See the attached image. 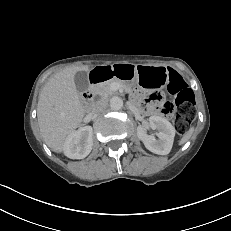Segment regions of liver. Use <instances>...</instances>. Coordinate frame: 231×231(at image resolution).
Wrapping results in <instances>:
<instances>
[{
  "mask_svg": "<svg viewBox=\"0 0 231 231\" xmlns=\"http://www.w3.org/2000/svg\"><path fill=\"white\" fill-rule=\"evenodd\" d=\"M87 66L66 68L43 87L37 105V117L42 137L54 152L64 151L67 137L80 126L85 115L76 89L74 77Z\"/></svg>",
  "mask_w": 231,
  "mask_h": 231,
  "instance_id": "obj_1",
  "label": "liver"
}]
</instances>
